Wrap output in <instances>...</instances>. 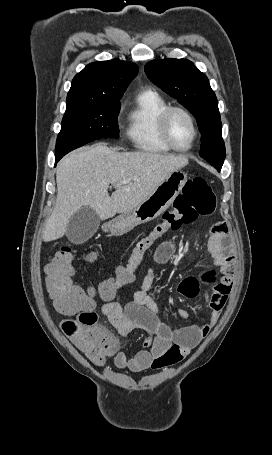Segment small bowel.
<instances>
[{
	"label": "small bowel",
	"instance_id": "1",
	"mask_svg": "<svg viewBox=\"0 0 272 455\" xmlns=\"http://www.w3.org/2000/svg\"><path fill=\"white\" fill-rule=\"evenodd\" d=\"M208 250L219 278L213 282L211 294L207 295L210 314L205 324H191L175 329L162 321L161 309L149 294L154 281L153 269L147 271L131 302L122 306L118 295H115L102 305V313L122 337H127L135 329L154 335L152 342H146L131 357L125 352H118L114 359L118 368L141 372L172 366L187 357L215 326L228 300L235 274L234 253L225 223L218 222L213 226ZM174 252V243L164 241L155 251V261L166 263ZM201 280L212 281V272L205 273L201 279L185 278L178 286L179 293L189 299L196 298L200 293ZM178 314L182 318L188 317L185 310H178Z\"/></svg>",
	"mask_w": 272,
	"mask_h": 455
}]
</instances>
